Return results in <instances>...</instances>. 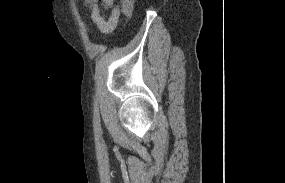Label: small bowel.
Wrapping results in <instances>:
<instances>
[{
  "mask_svg": "<svg viewBox=\"0 0 285 183\" xmlns=\"http://www.w3.org/2000/svg\"><path fill=\"white\" fill-rule=\"evenodd\" d=\"M84 3L90 9V18L100 32L108 33L116 28L121 9L115 5L114 0H84ZM103 9L110 10L108 17Z\"/></svg>",
  "mask_w": 285,
  "mask_h": 183,
  "instance_id": "1",
  "label": "small bowel"
}]
</instances>
